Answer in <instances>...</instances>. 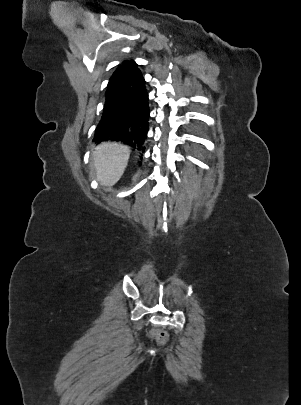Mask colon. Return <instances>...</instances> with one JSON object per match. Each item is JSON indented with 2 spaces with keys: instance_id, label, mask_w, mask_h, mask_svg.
Masks as SVG:
<instances>
[{
  "instance_id": "obj_1",
  "label": "colon",
  "mask_w": 301,
  "mask_h": 405,
  "mask_svg": "<svg viewBox=\"0 0 301 405\" xmlns=\"http://www.w3.org/2000/svg\"><path fill=\"white\" fill-rule=\"evenodd\" d=\"M153 336L158 343L164 344L168 340V334L166 331L160 330L153 333Z\"/></svg>"
}]
</instances>
